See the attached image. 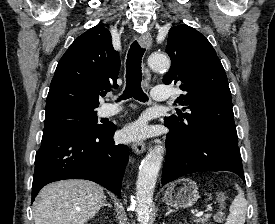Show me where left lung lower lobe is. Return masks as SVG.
I'll list each match as a JSON object with an SVG mask.
<instances>
[{"mask_svg": "<svg viewBox=\"0 0 275 224\" xmlns=\"http://www.w3.org/2000/svg\"><path fill=\"white\" fill-rule=\"evenodd\" d=\"M169 128L162 184L202 171H231L245 182L237 133L216 131L207 126L190 131Z\"/></svg>", "mask_w": 275, "mask_h": 224, "instance_id": "left-lung-lower-lobe-1", "label": "left lung lower lobe"}]
</instances>
